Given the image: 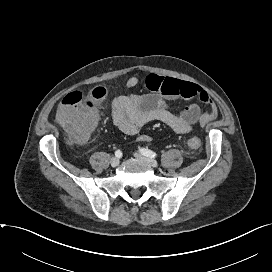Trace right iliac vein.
Instances as JSON below:
<instances>
[{"label": "right iliac vein", "mask_w": 272, "mask_h": 272, "mask_svg": "<svg viewBox=\"0 0 272 272\" xmlns=\"http://www.w3.org/2000/svg\"><path fill=\"white\" fill-rule=\"evenodd\" d=\"M119 163H120V160H119L118 157H113V158L111 159V161H110V164H111L112 167L118 166Z\"/></svg>", "instance_id": "1"}]
</instances>
